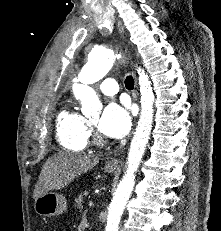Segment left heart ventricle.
Here are the masks:
<instances>
[{"label":"left heart ventricle","instance_id":"left-heart-ventricle-1","mask_svg":"<svg viewBox=\"0 0 221 231\" xmlns=\"http://www.w3.org/2000/svg\"><path fill=\"white\" fill-rule=\"evenodd\" d=\"M97 120H93L92 122L96 123Z\"/></svg>","mask_w":221,"mask_h":231}]
</instances>
